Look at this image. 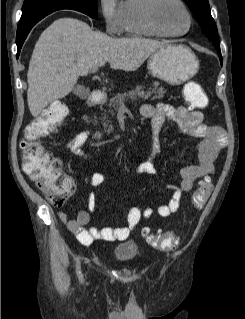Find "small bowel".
Wrapping results in <instances>:
<instances>
[{
    "label": "small bowel",
    "instance_id": "1",
    "mask_svg": "<svg viewBox=\"0 0 245 319\" xmlns=\"http://www.w3.org/2000/svg\"><path fill=\"white\" fill-rule=\"evenodd\" d=\"M141 115L151 121L152 156L158 153L154 138L167 120L173 122L184 135L199 141L197 163L182 169L180 184L170 187L171 198L169 202L157 209V213L161 217H168L178 211L182 195L193 188L195 181L213 172L218 153L225 146L226 134L219 127L204 124L203 115L200 111L185 106L175 107L165 103L156 106L145 104L141 107ZM90 137L91 132L83 130L68 141L66 148L77 156H84L82 147ZM137 172L154 175L156 174V168L152 162H148L141 164L137 168ZM104 182L105 175L100 172L93 173L89 178L92 187H98ZM96 204L95 194L91 192L88 195V209L81 211L76 218L69 219L64 211L58 213L60 220L66 223L68 229L83 245H90L96 241H123L130 236L140 222L149 219L154 213L151 207L141 209L138 206H132L128 212V225L126 227L97 229L94 226H88L90 216L96 209Z\"/></svg>",
    "mask_w": 245,
    "mask_h": 319
}]
</instances>
